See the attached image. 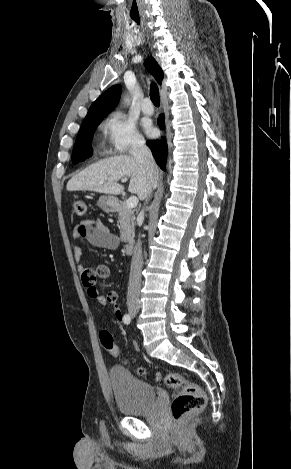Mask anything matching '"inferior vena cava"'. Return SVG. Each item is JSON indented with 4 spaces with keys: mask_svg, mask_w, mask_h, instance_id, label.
Instances as JSON below:
<instances>
[{
    "mask_svg": "<svg viewBox=\"0 0 291 469\" xmlns=\"http://www.w3.org/2000/svg\"><path fill=\"white\" fill-rule=\"evenodd\" d=\"M130 153L138 162L142 163L148 173L153 172L155 168V161L153 159L150 149L146 146L145 141L141 137H136L133 141ZM149 196L146 198L148 201ZM142 243L140 238L134 248V253L131 262V270L129 277L128 293H127V305L129 307L140 305V289H141V271H142Z\"/></svg>",
    "mask_w": 291,
    "mask_h": 469,
    "instance_id": "602c4592",
    "label": "inferior vena cava"
}]
</instances>
